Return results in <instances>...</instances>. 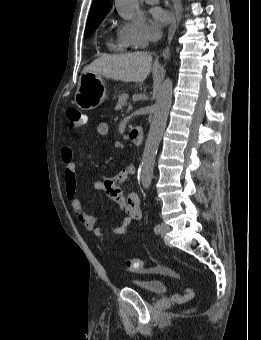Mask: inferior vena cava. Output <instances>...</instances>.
Masks as SVG:
<instances>
[{
	"instance_id": "1",
	"label": "inferior vena cava",
	"mask_w": 261,
	"mask_h": 340,
	"mask_svg": "<svg viewBox=\"0 0 261 340\" xmlns=\"http://www.w3.org/2000/svg\"><path fill=\"white\" fill-rule=\"evenodd\" d=\"M162 36V33L161 32H157L153 35L152 39L153 41H158Z\"/></svg>"
}]
</instances>
